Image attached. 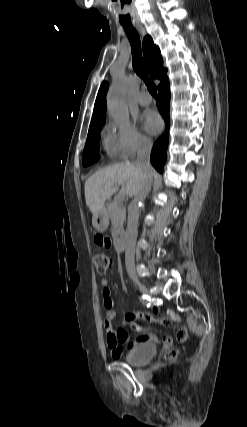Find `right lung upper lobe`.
<instances>
[{"label":"right lung upper lobe","instance_id":"right-lung-upper-lobe-1","mask_svg":"<svg viewBox=\"0 0 247 427\" xmlns=\"http://www.w3.org/2000/svg\"><path fill=\"white\" fill-rule=\"evenodd\" d=\"M143 57L146 68L153 79H159L161 81L160 84L168 80L166 76L167 70L163 67V59L160 54V50L158 46L153 43L150 36H146L143 40ZM107 89L108 83L103 82L95 101L89 129L105 123V96Z\"/></svg>","mask_w":247,"mask_h":427}]
</instances>
